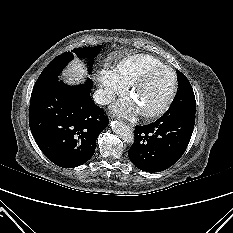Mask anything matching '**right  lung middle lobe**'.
Segmentation results:
<instances>
[{
	"label": "right lung middle lobe",
	"instance_id": "1",
	"mask_svg": "<svg viewBox=\"0 0 233 233\" xmlns=\"http://www.w3.org/2000/svg\"><path fill=\"white\" fill-rule=\"evenodd\" d=\"M100 49L101 45H98L95 47L73 49L71 52H65L61 55H58L42 71L41 75L34 85L33 90L57 80L63 68L73 59L74 56L86 59H93L99 53ZM91 62L88 64L89 72L91 71Z\"/></svg>",
	"mask_w": 233,
	"mask_h": 233
}]
</instances>
